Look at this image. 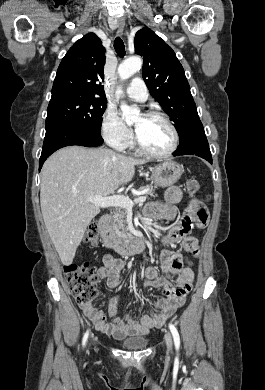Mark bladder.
<instances>
[{
    "label": "bladder",
    "instance_id": "1",
    "mask_svg": "<svg viewBox=\"0 0 265 390\" xmlns=\"http://www.w3.org/2000/svg\"><path fill=\"white\" fill-rule=\"evenodd\" d=\"M120 344L129 350H141L148 345V339L144 337H129L124 338Z\"/></svg>",
    "mask_w": 265,
    "mask_h": 390
}]
</instances>
